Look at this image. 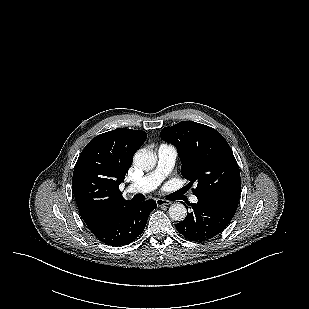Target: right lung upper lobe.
Returning a JSON list of instances; mask_svg holds the SVG:
<instances>
[{"label":"right lung upper lobe","mask_w":309,"mask_h":309,"mask_svg":"<svg viewBox=\"0 0 309 309\" xmlns=\"http://www.w3.org/2000/svg\"><path fill=\"white\" fill-rule=\"evenodd\" d=\"M146 138L144 131L118 128L96 136L81 152L72 188L79 212L90 230L111 211L129 202L119 191V184Z\"/></svg>","instance_id":"right-lung-upper-lobe-1"}]
</instances>
